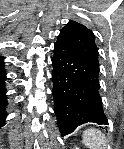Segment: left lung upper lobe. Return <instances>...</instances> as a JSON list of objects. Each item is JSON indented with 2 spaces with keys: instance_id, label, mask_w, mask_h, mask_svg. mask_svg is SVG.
<instances>
[{
  "instance_id": "obj_1",
  "label": "left lung upper lobe",
  "mask_w": 124,
  "mask_h": 149,
  "mask_svg": "<svg viewBox=\"0 0 124 149\" xmlns=\"http://www.w3.org/2000/svg\"><path fill=\"white\" fill-rule=\"evenodd\" d=\"M72 46L80 50L92 62L99 65L98 48L94 42V34L83 24L70 20L60 32Z\"/></svg>"
}]
</instances>
